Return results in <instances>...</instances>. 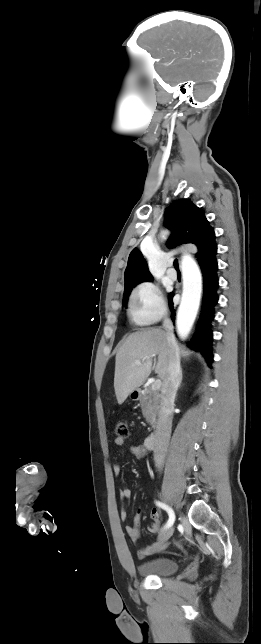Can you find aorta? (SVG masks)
I'll return each mask as SVG.
<instances>
[{
  "label": "aorta",
  "instance_id": "1",
  "mask_svg": "<svg viewBox=\"0 0 261 644\" xmlns=\"http://www.w3.org/2000/svg\"><path fill=\"white\" fill-rule=\"evenodd\" d=\"M183 293L177 312L179 336L184 339L194 323L201 293V277L197 265L189 255L182 258Z\"/></svg>",
  "mask_w": 261,
  "mask_h": 644
}]
</instances>
